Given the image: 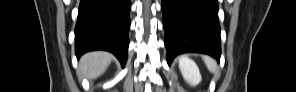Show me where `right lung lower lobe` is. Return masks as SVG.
I'll list each match as a JSON object with an SVG mask.
<instances>
[{
  "mask_svg": "<svg viewBox=\"0 0 296 92\" xmlns=\"http://www.w3.org/2000/svg\"><path fill=\"white\" fill-rule=\"evenodd\" d=\"M130 0H81L75 27L77 57L106 50L125 65L129 45Z\"/></svg>",
  "mask_w": 296,
  "mask_h": 92,
  "instance_id": "right-lung-lower-lobe-1",
  "label": "right lung lower lobe"
}]
</instances>
